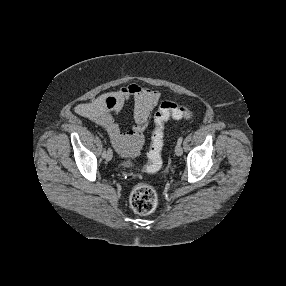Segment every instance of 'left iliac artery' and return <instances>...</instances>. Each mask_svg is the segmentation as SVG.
<instances>
[{
	"label": "left iliac artery",
	"instance_id": "1",
	"mask_svg": "<svg viewBox=\"0 0 286 286\" xmlns=\"http://www.w3.org/2000/svg\"><path fill=\"white\" fill-rule=\"evenodd\" d=\"M182 141H183V137L181 136V137H179L177 144L181 145Z\"/></svg>",
	"mask_w": 286,
	"mask_h": 286
}]
</instances>
